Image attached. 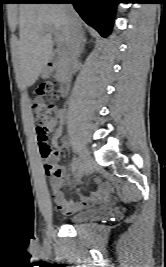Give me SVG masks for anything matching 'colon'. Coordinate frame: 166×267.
<instances>
[{
    "label": "colon",
    "instance_id": "colon-1",
    "mask_svg": "<svg viewBox=\"0 0 166 267\" xmlns=\"http://www.w3.org/2000/svg\"><path fill=\"white\" fill-rule=\"evenodd\" d=\"M45 95L50 96L53 100L58 98V93L53 84L47 83L42 85L37 90L36 95L32 97L31 106L37 124L36 134L40 154L47 160L44 164V170L46 175L53 179L58 176V170L54 163L50 161L53 151L47 142L49 132L48 125L51 121L59 117L60 111L54 101H47L43 98Z\"/></svg>",
    "mask_w": 166,
    "mask_h": 267
}]
</instances>
